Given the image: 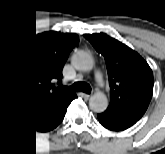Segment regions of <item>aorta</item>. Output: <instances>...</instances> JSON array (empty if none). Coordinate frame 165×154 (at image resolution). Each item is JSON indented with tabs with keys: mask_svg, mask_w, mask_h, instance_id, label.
Returning <instances> with one entry per match:
<instances>
[{
	"mask_svg": "<svg viewBox=\"0 0 165 154\" xmlns=\"http://www.w3.org/2000/svg\"><path fill=\"white\" fill-rule=\"evenodd\" d=\"M74 63L79 70L83 71H90L94 67L93 58L85 52H79L74 58ZM107 106L108 99L101 92L95 93L90 99V107L95 111H104Z\"/></svg>",
	"mask_w": 165,
	"mask_h": 154,
	"instance_id": "1",
	"label": "aorta"
}]
</instances>
